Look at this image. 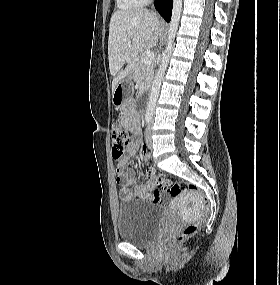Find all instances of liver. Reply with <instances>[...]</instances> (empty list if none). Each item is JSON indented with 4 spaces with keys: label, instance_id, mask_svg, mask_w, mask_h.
Returning <instances> with one entry per match:
<instances>
[{
    "label": "liver",
    "instance_id": "1",
    "mask_svg": "<svg viewBox=\"0 0 280 285\" xmlns=\"http://www.w3.org/2000/svg\"><path fill=\"white\" fill-rule=\"evenodd\" d=\"M162 26L158 16L146 9L112 14L108 40L109 69L114 76L112 92L132 70L139 54L156 46ZM129 44L131 47H128Z\"/></svg>",
    "mask_w": 280,
    "mask_h": 285
}]
</instances>
